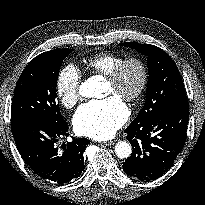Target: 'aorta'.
<instances>
[{"instance_id": "762f6f07", "label": "aorta", "mask_w": 205, "mask_h": 205, "mask_svg": "<svg viewBox=\"0 0 205 205\" xmlns=\"http://www.w3.org/2000/svg\"><path fill=\"white\" fill-rule=\"evenodd\" d=\"M103 82L98 77H91L79 86V94L85 98L98 97L102 93ZM115 153L119 158H128L132 153L131 145L119 141L115 145Z\"/></svg>"}]
</instances>
